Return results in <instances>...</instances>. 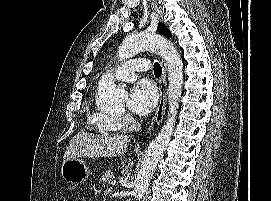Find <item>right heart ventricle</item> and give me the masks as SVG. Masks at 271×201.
<instances>
[{
  "label": "right heart ventricle",
  "mask_w": 271,
  "mask_h": 201,
  "mask_svg": "<svg viewBox=\"0 0 271 201\" xmlns=\"http://www.w3.org/2000/svg\"><path fill=\"white\" fill-rule=\"evenodd\" d=\"M88 123L91 129L102 133H116L121 128L111 121V117L102 112L88 113Z\"/></svg>",
  "instance_id": "e07e8e85"
}]
</instances>
